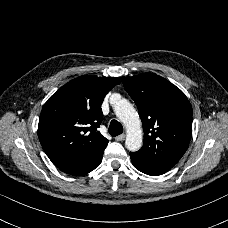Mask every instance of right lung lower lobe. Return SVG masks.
<instances>
[{
  "instance_id": "obj_1",
  "label": "right lung lower lobe",
  "mask_w": 228,
  "mask_h": 228,
  "mask_svg": "<svg viewBox=\"0 0 228 228\" xmlns=\"http://www.w3.org/2000/svg\"><path fill=\"white\" fill-rule=\"evenodd\" d=\"M104 149H101L96 154H94L90 159L79 165L62 168L60 170L74 176L87 174L99 166V164L102 161Z\"/></svg>"
}]
</instances>
